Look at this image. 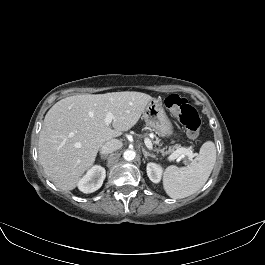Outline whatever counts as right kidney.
I'll list each match as a JSON object with an SVG mask.
<instances>
[{
  "label": "right kidney",
  "mask_w": 265,
  "mask_h": 265,
  "mask_svg": "<svg viewBox=\"0 0 265 265\" xmlns=\"http://www.w3.org/2000/svg\"><path fill=\"white\" fill-rule=\"evenodd\" d=\"M105 177V169L99 165H95L79 180L77 184L78 188L83 193L95 192L102 186Z\"/></svg>",
  "instance_id": "right-kidney-1"
}]
</instances>
